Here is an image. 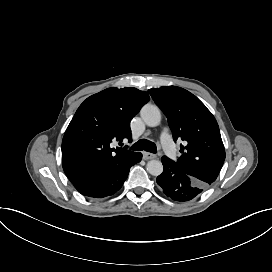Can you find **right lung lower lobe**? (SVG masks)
<instances>
[{"label":"right lung lower lobe","mask_w":272,"mask_h":272,"mask_svg":"<svg viewBox=\"0 0 272 272\" xmlns=\"http://www.w3.org/2000/svg\"><path fill=\"white\" fill-rule=\"evenodd\" d=\"M141 158V153L134 152L106 169L77 178L71 182L86 197L104 198L111 196L122 187L130 168L140 162Z\"/></svg>","instance_id":"1"}]
</instances>
